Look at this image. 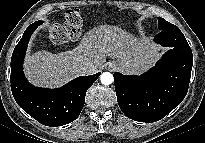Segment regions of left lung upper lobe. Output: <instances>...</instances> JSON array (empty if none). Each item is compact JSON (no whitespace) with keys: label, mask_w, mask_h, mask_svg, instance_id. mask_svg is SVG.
<instances>
[{"label":"left lung upper lobe","mask_w":205,"mask_h":143,"mask_svg":"<svg viewBox=\"0 0 205 143\" xmlns=\"http://www.w3.org/2000/svg\"><path fill=\"white\" fill-rule=\"evenodd\" d=\"M158 27L160 30H172V29H177L178 27L169 23L163 18H158Z\"/></svg>","instance_id":"5c2ea615"}]
</instances>
